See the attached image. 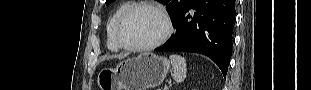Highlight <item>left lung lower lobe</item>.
Here are the masks:
<instances>
[{
    "label": "left lung lower lobe",
    "instance_id": "0a47b994",
    "mask_svg": "<svg viewBox=\"0 0 311 90\" xmlns=\"http://www.w3.org/2000/svg\"><path fill=\"white\" fill-rule=\"evenodd\" d=\"M234 19L235 0H192L177 18L173 38L156 51L206 55L225 77L231 58Z\"/></svg>",
    "mask_w": 311,
    "mask_h": 90
}]
</instances>
